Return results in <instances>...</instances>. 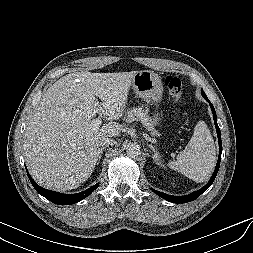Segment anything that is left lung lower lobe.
Returning <instances> with one entry per match:
<instances>
[{"instance_id": "1", "label": "left lung lower lobe", "mask_w": 253, "mask_h": 253, "mask_svg": "<svg viewBox=\"0 0 253 253\" xmlns=\"http://www.w3.org/2000/svg\"><path fill=\"white\" fill-rule=\"evenodd\" d=\"M205 99L208 101V103L210 105V108L212 110L213 117H214V124H215V127H216L218 141H219V157H218V161H217V164H216V167H215V171H214L212 177L210 178L209 182L202 189H200L198 191H195V192H193L189 195H186V196H172V195H168V194L159 192L155 189H152L157 195H159L160 197L166 199L167 201H170V202H173V203H186V202H190V201L195 200L208 187H210V185H212V183H213V181H214V179H215V177L218 173L219 166H220V161H221V152H222L221 133H220V128L218 127V124H217V116H216L215 109H214L212 103L208 100V98H205Z\"/></svg>"}]
</instances>
